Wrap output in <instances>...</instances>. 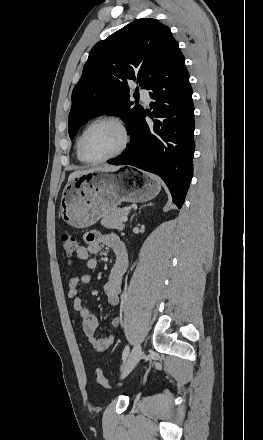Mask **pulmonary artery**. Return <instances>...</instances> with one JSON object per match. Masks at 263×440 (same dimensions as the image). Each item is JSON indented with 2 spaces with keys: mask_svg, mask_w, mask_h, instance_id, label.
I'll use <instances>...</instances> for the list:
<instances>
[{
  "mask_svg": "<svg viewBox=\"0 0 263 440\" xmlns=\"http://www.w3.org/2000/svg\"><path fill=\"white\" fill-rule=\"evenodd\" d=\"M140 97L144 103L149 104L151 98H150L149 91L147 89L140 90Z\"/></svg>",
  "mask_w": 263,
  "mask_h": 440,
  "instance_id": "pulmonary-artery-1",
  "label": "pulmonary artery"
}]
</instances>
